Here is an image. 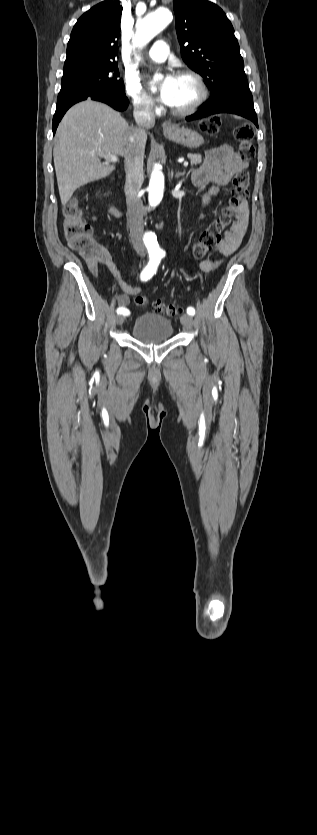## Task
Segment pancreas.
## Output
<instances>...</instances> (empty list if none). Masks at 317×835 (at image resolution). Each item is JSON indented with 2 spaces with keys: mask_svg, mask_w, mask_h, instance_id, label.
Instances as JSON below:
<instances>
[{
  "mask_svg": "<svg viewBox=\"0 0 317 835\" xmlns=\"http://www.w3.org/2000/svg\"><path fill=\"white\" fill-rule=\"evenodd\" d=\"M188 158L191 160V162H192L194 165H198V164H200V163L202 162V157H201V155H200V154H192V153H190V154H188Z\"/></svg>",
  "mask_w": 317,
  "mask_h": 835,
  "instance_id": "1",
  "label": "pancreas"
}]
</instances>
